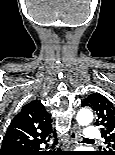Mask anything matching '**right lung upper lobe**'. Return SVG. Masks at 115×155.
Returning <instances> with one entry per match:
<instances>
[{
	"instance_id": "1",
	"label": "right lung upper lobe",
	"mask_w": 115,
	"mask_h": 155,
	"mask_svg": "<svg viewBox=\"0 0 115 155\" xmlns=\"http://www.w3.org/2000/svg\"><path fill=\"white\" fill-rule=\"evenodd\" d=\"M51 132L50 115L41 102L33 100L27 103L11 121L2 141L0 155L46 142Z\"/></svg>"
}]
</instances>
